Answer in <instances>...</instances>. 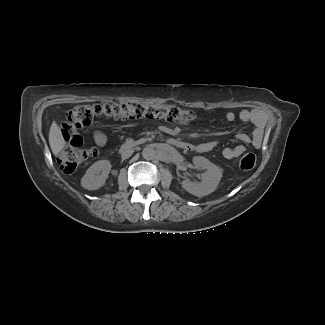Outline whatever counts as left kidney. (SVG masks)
Wrapping results in <instances>:
<instances>
[{"instance_id":"1","label":"left kidney","mask_w":325,"mask_h":325,"mask_svg":"<svg viewBox=\"0 0 325 325\" xmlns=\"http://www.w3.org/2000/svg\"><path fill=\"white\" fill-rule=\"evenodd\" d=\"M192 161L195 167H201L205 172L201 174V182H191L185 179L182 181V187L197 197L211 194L215 191L222 178V170L202 156H195Z\"/></svg>"}]
</instances>
